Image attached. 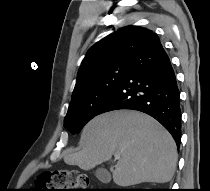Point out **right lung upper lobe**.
<instances>
[{"label":"right lung upper lobe","mask_w":210,"mask_h":191,"mask_svg":"<svg viewBox=\"0 0 210 191\" xmlns=\"http://www.w3.org/2000/svg\"><path fill=\"white\" fill-rule=\"evenodd\" d=\"M154 34L142 27L126 26L97 42L81 63L73 93L84 87L98 70L115 62H130Z\"/></svg>","instance_id":"cb5924a9"}]
</instances>
